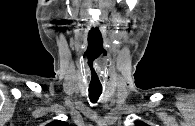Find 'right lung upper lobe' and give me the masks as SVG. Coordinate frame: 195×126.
<instances>
[{"label":"right lung upper lobe","instance_id":"right-lung-upper-lobe-1","mask_svg":"<svg viewBox=\"0 0 195 126\" xmlns=\"http://www.w3.org/2000/svg\"><path fill=\"white\" fill-rule=\"evenodd\" d=\"M46 126H69L68 123L64 122V121H53L49 124H47Z\"/></svg>","mask_w":195,"mask_h":126}]
</instances>
